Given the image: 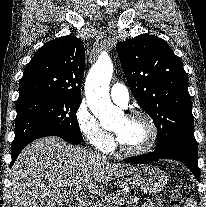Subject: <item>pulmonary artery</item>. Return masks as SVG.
<instances>
[{
    "label": "pulmonary artery",
    "instance_id": "e3ab8cb5",
    "mask_svg": "<svg viewBox=\"0 0 206 207\" xmlns=\"http://www.w3.org/2000/svg\"><path fill=\"white\" fill-rule=\"evenodd\" d=\"M110 95L113 102L120 106H126L129 101L128 89L119 83H116L111 87Z\"/></svg>",
    "mask_w": 206,
    "mask_h": 207
}]
</instances>
